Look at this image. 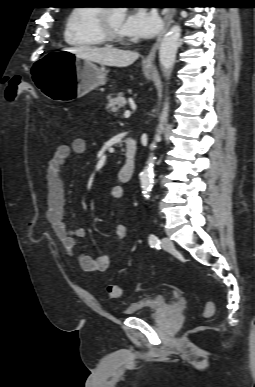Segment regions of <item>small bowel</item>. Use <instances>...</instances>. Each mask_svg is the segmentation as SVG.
Instances as JSON below:
<instances>
[{
	"mask_svg": "<svg viewBox=\"0 0 255 387\" xmlns=\"http://www.w3.org/2000/svg\"><path fill=\"white\" fill-rule=\"evenodd\" d=\"M85 151L86 141L83 138H76L70 145H59L48 161L45 174L47 185L46 218L66 254L76 258L80 267L86 272H103L109 267V256L100 254L92 257L85 253H76V239L83 237L85 232L81 227H70L65 220V186L62 172L72 154L80 155ZM110 194L114 199H121L124 191L121 186L116 185L111 188ZM127 235L126 226L117 225L114 229L115 244L124 243Z\"/></svg>",
	"mask_w": 255,
	"mask_h": 387,
	"instance_id": "1",
	"label": "small bowel"
}]
</instances>
